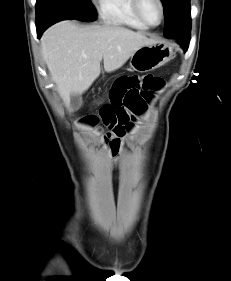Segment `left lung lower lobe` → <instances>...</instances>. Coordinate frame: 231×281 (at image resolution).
I'll return each instance as SVG.
<instances>
[{
    "label": "left lung lower lobe",
    "mask_w": 231,
    "mask_h": 281,
    "mask_svg": "<svg viewBox=\"0 0 231 281\" xmlns=\"http://www.w3.org/2000/svg\"><path fill=\"white\" fill-rule=\"evenodd\" d=\"M190 32H191V28L179 29L177 31L172 32V34L167 37L176 38L178 40L179 44H181L183 46V49L186 51L189 46Z\"/></svg>",
    "instance_id": "1"
}]
</instances>
